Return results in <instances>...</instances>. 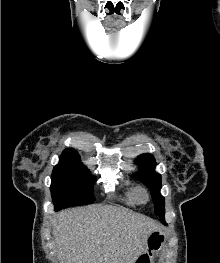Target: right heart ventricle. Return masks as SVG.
Wrapping results in <instances>:
<instances>
[{"instance_id":"1","label":"right heart ventricle","mask_w":220,"mask_h":263,"mask_svg":"<svg viewBox=\"0 0 220 263\" xmlns=\"http://www.w3.org/2000/svg\"><path fill=\"white\" fill-rule=\"evenodd\" d=\"M123 200L128 204H134L139 201L138 192L135 189H130L126 194Z\"/></svg>"}]
</instances>
